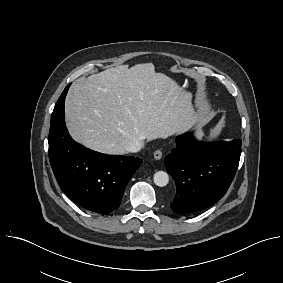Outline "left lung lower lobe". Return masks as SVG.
I'll return each instance as SVG.
<instances>
[{
	"label": "left lung lower lobe",
	"mask_w": 283,
	"mask_h": 283,
	"mask_svg": "<svg viewBox=\"0 0 283 283\" xmlns=\"http://www.w3.org/2000/svg\"><path fill=\"white\" fill-rule=\"evenodd\" d=\"M240 155V139L203 143L190 133L178 136L176 148L165 158V167L176 183L172 210L189 214L222 198L235 176Z\"/></svg>",
	"instance_id": "1"
}]
</instances>
